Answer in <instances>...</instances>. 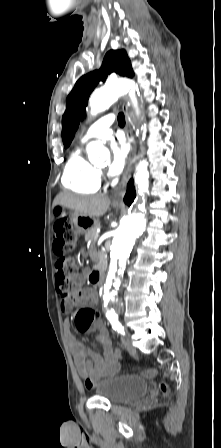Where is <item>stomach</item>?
<instances>
[{
  "label": "stomach",
  "instance_id": "0dacf381",
  "mask_svg": "<svg viewBox=\"0 0 221 448\" xmlns=\"http://www.w3.org/2000/svg\"><path fill=\"white\" fill-rule=\"evenodd\" d=\"M114 207H118V206H114ZM57 212L62 211V207L59 206L57 207ZM71 217V222L73 223V225L75 226L77 233L78 234H84L87 233V231H89L91 228H93L96 224V221L88 216H84L78 212H73L70 215Z\"/></svg>",
  "mask_w": 221,
  "mask_h": 448
}]
</instances>
